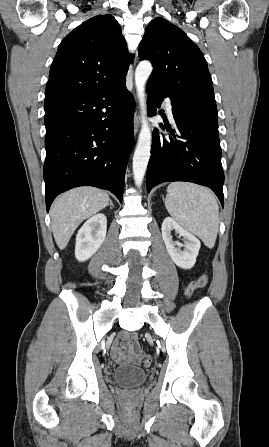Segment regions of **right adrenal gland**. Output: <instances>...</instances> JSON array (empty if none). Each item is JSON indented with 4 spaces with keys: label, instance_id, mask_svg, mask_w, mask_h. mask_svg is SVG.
I'll return each mask as SVG.
<instances>
[{
    "label": "right adrenal gland",
    "instance_id": "obj_1",
    "mask_svg": "<svg viewBox=\"0 0 269 447\" xmlns=\"http://www.w3.org/2000/svg\"><path fill=\"white\" fill-rule=\"evenodd\" d=\"M109 206H110V208H111V206H113V204H112V200H110V204H109Z\"/></svg>",
    "mask_w": 269,
    "mask_h": 447
}]
</instances>
